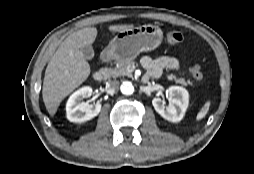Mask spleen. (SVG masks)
Segmentation results:
<instances>
[{"mask_svg": "<svg viewBox=\"0 0 254 174\" xmlns=\"http://www.w3.org/2000/svg\"><path fill=\"white\" fill-rule=\"evenodd\" d=\"M210 107V101H207L204 106L201 108V110L199 111V113L197 114V120H201L202 118H204L209 110Z\"/></svg>", "mask_w": 254, "mask_h": 174, "instance_id": "1", "label": "spleen"}]
</instances>
